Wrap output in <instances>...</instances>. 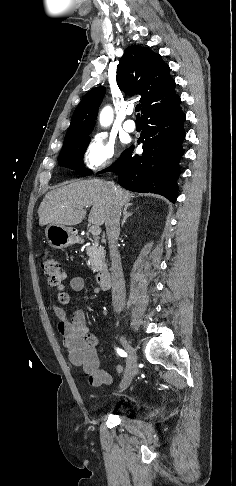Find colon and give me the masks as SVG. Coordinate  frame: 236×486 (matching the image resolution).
Returning <instances> with one entry per match:
<instances>
[{"mask_svg":"<svg viewBox=\"0 0 236 486\" xmlns=\"http://www.w3.org/2000/svg\"><path fill=\"white\" fill-rule=\"evenodd\" d=\"M41 267L47 278L48 284L59 291V299L61 302L68 301V294L65 292L63 287L64 272L61 270L58 261L48 255H45L41 259Z\"/></svg>","mask_w":236,"mask_h":486,"instance_id":"colon-1","label":"colon"}]
</instances>
